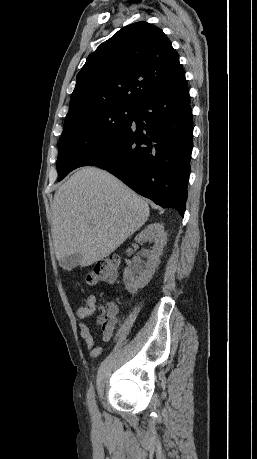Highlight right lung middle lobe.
Segmentation results:
<instances>
[{
  "instance_id": "1",
  "label": "right lung middle lobe",
  "mask_w": 257,
  "mask_h": 459,
  "mask_svg": "<svg viewBox=\"0 0 257 459\" xmlns=\"http://www.w3.org/2000/svg\"><path fill=\"white\" fill-rule=\"evenodd\" d=\"M134 112L135 107H111L65 126L56 162L58 181L116 140L130 125Z\"/></svg>"
}]
</instances>
